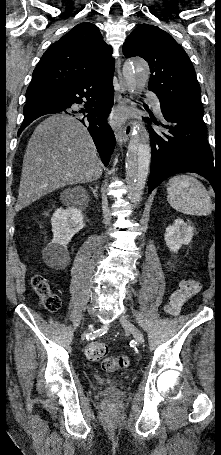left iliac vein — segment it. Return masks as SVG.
<instances>
[{
  "label": "left iliac vein",
  "mask_w": 221,
  "mask_h": 455,
  "mask_svg": "<svg viewBox=\"0 0 221 455\" xmlns=\"http://www.w3.org/2000/svg\"><path fill=\"white\" fill-rule=\"evenodd\" d=\"M120 324L122 327L130 332L134 339L139 342L140 344L144 343V336L143 333L132 323L130 322L125 316L120 317Z\"/></svg>",
  "instance_id": "obj_1"
}]
</instances>
